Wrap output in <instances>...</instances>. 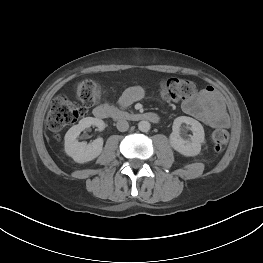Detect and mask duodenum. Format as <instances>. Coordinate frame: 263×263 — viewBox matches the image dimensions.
Listing matches in <instances>:
<instances>
[{"instance_id":"obj_1","label":"duodenum","mask_w":263,"mask_h":263,"mask_svg":"<svg viewBox=\"0 0 263 263\" xmlns=\"http://www.w3.org/2000/svg\"><path fill=\"white\" fill-rule=\"evenodd\" d=\"M93 114L96 118L106 119L112 118L115 120H128V121H149L156 123L159 121V117L156 113H129L119 109L112 108L108 105H100L93 110Z\"/></svg>"}]
</instances>
